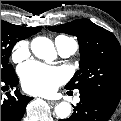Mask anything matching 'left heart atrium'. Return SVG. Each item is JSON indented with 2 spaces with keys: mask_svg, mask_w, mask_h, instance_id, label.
<instances>
[{
  "mask_svg": "<svg viewBox=\"0 0 121 121\" xmlns=\"http://www.w3.org/2000/svg\"><path fill=\"white\" fill-rule=\"evenodd\" d=\"M24 88L35 95H51L65 81V73L58 67L30 62L22 66Z\"/></svg>",
  "mask_w": 121,
  "mask_h": 121,
  "instance_id": "left-heart-atrium-1",
  "label": "left heart atrium"
}]
</instances>
